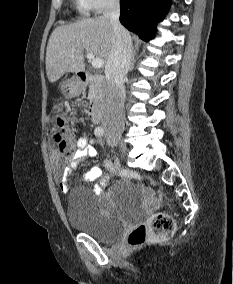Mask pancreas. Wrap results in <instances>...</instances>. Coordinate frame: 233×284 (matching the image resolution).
<instances>
[{"instance_id":"pancreas-1","label":"pancreas","mask_w":233,"mask_h":284,"mask_svg":"<svg viewBox=\"0 0 233 284\" xmlns=\"http://www.w3.org/2000/svg\"><path fill=\"white\" fill-rule=\"evenodd\" d=\"M96 97H97L96 91L94 87L91 86L89 90V99L93 100V99H96Z\"/></svg>"}]
</instances>
